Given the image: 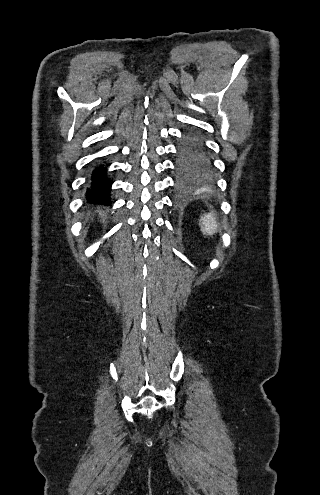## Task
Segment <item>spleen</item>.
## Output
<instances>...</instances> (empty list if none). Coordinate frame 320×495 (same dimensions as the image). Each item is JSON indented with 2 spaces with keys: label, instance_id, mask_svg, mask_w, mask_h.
<instances>
[{
  "label": "spleen",
  "instance_id": "spleen-1",
  "mask_svg": "<svg viewBox=\"0 0 320 495\" xmlns=\"http://www.w3.org/2000/svg\"><path fill=\"white\" fill-rule=\"evenodd\" d=\"M199 225L203 235L207 237L212 236L217 232L218 224L213 213L201 216Z\"/></svg>",
  "mask_w": 320,
  "mask_h": 495
}]
</instances>
